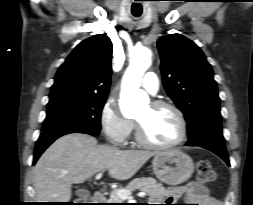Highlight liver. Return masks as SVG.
<instances>
[{"mask_svg":"<svg viewBox=\"0 0 253 205\" xmlns=\"http://www.w3.org/2000/svg\"><path fill=\"white\" fill-rule=\"evenodd\" d=\"M154 155L150 151L98 145L87 134L65 135L42 154L33 168L36 200L69 202L72 184L83 183L106 169L112 178L127 180Z\"/></svg>","mask_w":253,"mask_h":205,"instance_id":"6515ba94","label":"liver"}]
</instances>
